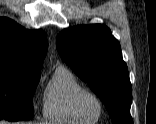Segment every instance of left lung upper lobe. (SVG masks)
Listing matches in <instances>:
<instances>
[{
	"instance_id": "left-lung-upper-lobe-1",
	"label": "left lung upper lobe",
	"mask_w": 156,
	"mask_h": 124,
	"mask_svg": "<svg viewBox=\"0 0 156 124\" xmlns=\"http://www.w3.org/2000/svg\"><path fill=\"white\" fill-rule=\"evenodd\" d=\"M61 58L102 100L113 124H133L132 86L120 43L101 24L79 25L58 34Z\"/></svg>"
}]
</instances>
